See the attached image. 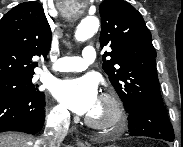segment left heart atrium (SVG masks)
Wrapping results in <instances>:
<instances>
[{"label": "left heart atrium", "instance_id": "obj_1", "mask_svg": "<svg viewBox=\"0 0 183 147\" xmlns=\"http://www.w3.org/2000/svg\"><path fill=\"white\" fill-rule=\"evenodd\" d=\"M52 92L66 108L80 115H88L99 100L97 83L90 76L58 80Z\"/></svg>", "mask_w": 183, "mask_h": 147}]
</instances>
